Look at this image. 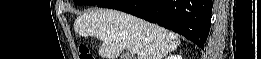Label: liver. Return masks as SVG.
<instances>
[{"mask_svg": "<svg viewBox=\"0 0 261 59\" xmlns=\"http://www.w3.org/2000/svg\"><path fill=\"white\" fill-rule=\"evenodd\" d=\"M74 30L81 36L102 40L98 54L118 59L123 50L138 48L137 58L163 59L180 45L174 33L140 18L112 9H94L80 15Z\"/></svg>", "mask_w": 261, "mask_h": 59, "instance_id": "obj_1", "label": "liver"}]
</instances>
